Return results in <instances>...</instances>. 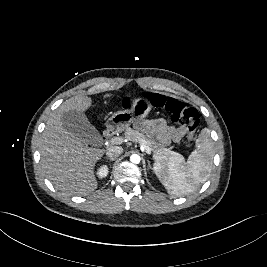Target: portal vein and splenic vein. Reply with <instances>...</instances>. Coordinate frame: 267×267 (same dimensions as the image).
<instances>
[{
    "label": "portal vein and splenic vein",
    "instance_id": "portal-vein-and-splenic-vein-1",
    "mask_svg": "<svg viewBox=\"0 0 267 267\" xmlns=\"http://www.w3.org/2000/svg\"><path fill=\"white\" fill-rule=\"evenodd\" d=\"M122 142H123V140L120 137H114V138H112L110 140V143L111 144H121ZM140 149L142 151H145L147 154H150L151 153L150 148L147 147V146H145V145H143V144L140 145Z\"/></svg>",
    "mask_w": 267,
    "mask_h": 267
}]
</instances>
